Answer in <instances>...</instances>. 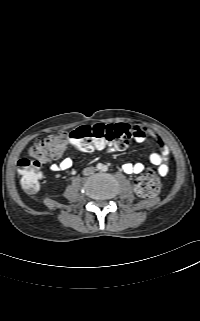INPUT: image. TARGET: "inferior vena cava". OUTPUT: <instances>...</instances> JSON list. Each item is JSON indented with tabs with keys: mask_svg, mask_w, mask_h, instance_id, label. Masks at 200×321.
Returning a JSON list of instances; mask_svg holds the SVG:
<instances>
[{
	"mask_svg": "<svg viewBox=\"0 0 200 321\" xmlns=\"http://www.w3.org/2000/svg\"><path fill=\"white\" fill-rule=\"evenodd\" d=\"M95 168L94 167H87L83 170V174L84 175H90L93 174L95 172Z\"/></svg>",
	"mask_w": 200,
	"mask_h": 321,
	"instance_id": "602c4592",
	"label": "inferior vena cava"
}]
</instances>
